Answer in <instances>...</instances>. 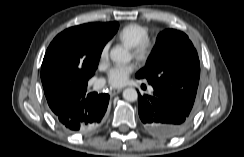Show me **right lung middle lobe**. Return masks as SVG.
<instances>
[{
  "label": "right lung middle lobe",
  "instance_id": "1",
  "mask_svg": "<svg viewBox=\"0 0 244 157\" xmlns=\"http://www.w3.org/2000/svg\"><path fill=\"white\" fill-rule=\"evenodd\" d=\"M80 37V34L77 30L71 29L70 32H68L65 37L63 38L61 44L63 46H71L73 43H75ZM58 47L56 46L53 51L49 54L48 58V66L49 69L46 70V76L51 78L59 77V74L61 71H65V64L62 61V59L58 56ZM99 56L95 57V68H97L98 62H99Z\"/></svg>",
  "mask_w": 244,
  "mask_h": 157
}]
</instances>
